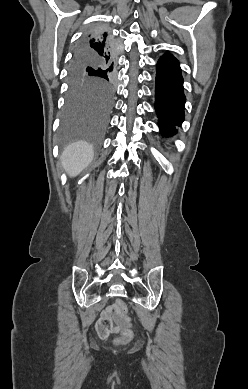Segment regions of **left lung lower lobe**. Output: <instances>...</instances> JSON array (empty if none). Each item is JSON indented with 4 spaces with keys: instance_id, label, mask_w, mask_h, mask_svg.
<instances>
[{
    "instance_id": "obj_1",
    "label": "left lung lower lobe",
    "mask_w": 248,
    "mask_h": 389,
    "mask_svg": "<svg viewBox=\"0 0 248 389\" xmlns=\"http://www.w3.org/2000/svg\"><path fill=\"white\" fill-rule=\"evenodd\" d=\"M155 110L164 136H172L184 120L185 95L179 61L164 54L156 66Z\"/></svg>"
}]
</instances>
